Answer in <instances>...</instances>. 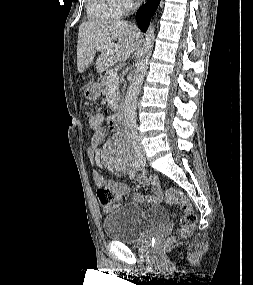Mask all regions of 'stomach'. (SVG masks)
I'll return each mask as SVG.
<instances>
[{"instance_id":"stomach-1","label":"stomach","mask_w":253,"mask_h":285,"mask_svg":"<svg viewBox=\"0 0 253 285\" xmlns=\"http://www.w3.org/2000/svg\"><path fill=\"white\" fill-rule=\"evenodd\" d=\"M101 91V86L98 83H94L85 89L84 96L88 100H96L100 97Z\"/></svg>"}]
</instances>
